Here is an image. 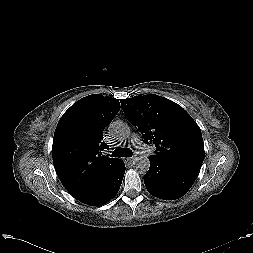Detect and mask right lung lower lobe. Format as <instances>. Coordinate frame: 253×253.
<instances>
[{"label": "right lung lower lobe", "mask_w": 253, "mask_h": 253, "mask_svg": "<svg viewBox=\"0 0 253 253\" xmlns=\"http://www.w3.org/2000/svg\"><path fill=\"white\" fill-rule=\"evenodd\" d=\"M125 173V164L121 161L115 171L105 180L90 187L82 194L75 196L80 202L100 206L110 201L119 191Z\"/></svg>", "instance_id": "obj_1"}]
</instances>
